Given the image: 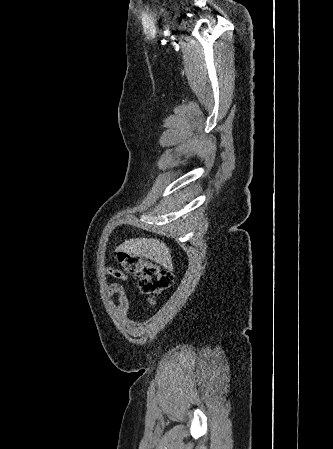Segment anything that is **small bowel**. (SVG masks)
Instances as JSON below:
<instances>
[{
    "instance_id": "c3829d8e",
    "label": "small bowel",
    "mask_w": 333,
    "mask_h": 449,
    "mask_svg": "<svg viewBox=\"0 0 333 449\" xmlns=\"http://www.w3.org/2000/svg\"><path fill=\"white\" fill-rule=\"evenodd\" d=\"M106 274L118 280H121L122 282H128L127 275L119 269L108 267L106 269ZM106 293L109 298H113L114 296L118 297V313L122 317H126L129 309V301L124 286L119 283H112L107 287Z\"/></svg>"
}]
</instances>
